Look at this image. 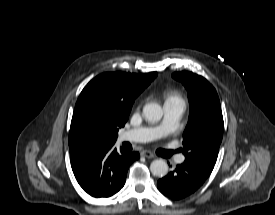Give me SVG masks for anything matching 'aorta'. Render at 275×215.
<instances>
[{
	"mask_svg": "<svg viewBox=\"0 0 275 215\" xmlns=\"http://www.w3.org/2000/svg\"><path fill=\"white\" fill-rule=\"evenodd\" d=\"M162 115V107L157 103H148L143 107V116L148 122H158ZM150 170L154 176L164 177L168 173V164L162 159H157L151 163Z\"/></svg>",
	"mask_w": 275,
	"mask_h": 215,
	"instance_id": "1",
	"label": "aorta"
}]
</instances>
